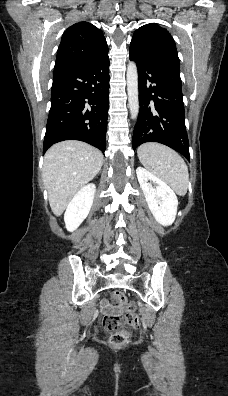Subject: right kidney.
<instances>
[{
    "label": "right kidney",
    "instance_id": "obj_1",
    "mask_svg": "<svg viewBox=\"0 0 228 396\" xmlns=\"http://www.w3.org/2000/svg\"><path fill=\"white\" fill-rule=\"evenodd\" d=\"M96 192L95 184H88L81 188L68 204L64 214L66 229L76 230L88 216Z\"/></svg>",
    "mask_w": 228,
    "mask_h": 396
}]
</instances>
